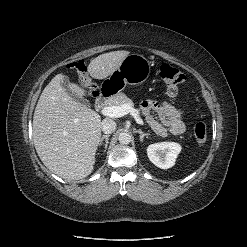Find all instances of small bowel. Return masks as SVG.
<instances>
[{
    "instance_id": "c3829d8e",
    "label": "small bowel",
    "mask_w": 247,
    "mask_h": 247,
    "mask_svg": "<svg viewBox=\"0 0 247 247\" xmlns=\"http://www.w3.org/2000/svg\"><path fill=\"white\" fill-rule=\"evenodd\" d=\"M141 108L146 122L159 136L180 135L186 130L183 112L168 102L145 100ZM154 113L158 115L159 120L154 117Z\"/></svg>"
}]
</instances>
